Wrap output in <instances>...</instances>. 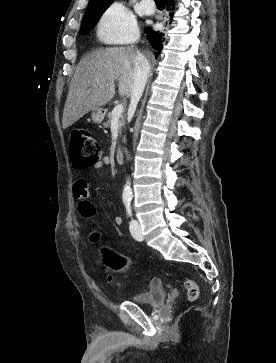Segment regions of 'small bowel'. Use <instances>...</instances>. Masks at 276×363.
Instances as JSON below:
<instances>
[{
    "label": "small bowel",
    "mask_w": 276,
    "mask_h": 363,
    "mask_svg": "<svg viewBox=\"0 0 276 363\" xmlns=\"http://www.w3.org/2000/svg\"><path fill=\"white\" fill-rule=\"evenodd\" d=\"M109 163V158L104 157L96 164L93 168L99 170ZM73 196L79 202V212L81 216L85 219H91L95 216L96 210L94 205L90 201V188L89 184L85 179H78L73 185ZM114 223L116 225L122 224V218L120 216L114 217Z\"/></svg>",
    "instance_id": "small-bowel-1"
}]
</instances>
